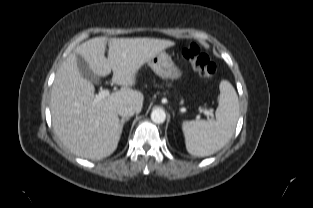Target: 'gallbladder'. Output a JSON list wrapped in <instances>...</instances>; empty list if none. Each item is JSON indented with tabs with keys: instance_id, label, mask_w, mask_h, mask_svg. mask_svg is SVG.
I'll list each match as a JSON object with an SVG mask.
<instances>
[{
	"instance_id": "gallbladder-1",
	"label": "gallbladder",
	"mask_w": 313,
	"mask_h": 208,
	"mask_svg": "<svg viewBox=\"0 0 313 208\" xmlns=\"http://www.w3.org/2000/svg\"><path fill=\"white\" fill-rule=\"evenodd\" d=\"M77 63L80 73L88 80L92 82H98V77L93 74L87 62L79 55H77Z\"/></svg>"
}]
</instances>
